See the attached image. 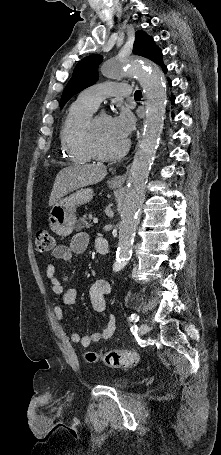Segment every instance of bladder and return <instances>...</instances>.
Returning a JSON list of instances; mask_svg holds the SVG:
<instances>
[{
    "mask_svg": "<svg viewBox=\"0 0 221 455\" xmlns=\"http://www.w3.org/2000/svg\"><path fill=\"white\" fill-rule=\"evenodd\" d=\"M127 383H128V379L124 378V377H121V378H118V379L114 380L112 384L115 387L122 388V387L126 386Z\"/></svg>",
    "mask_w": 221,
    "mask_h": 455,
    "instance_id": "bladder-1",
    "label": "bladder"
}]
</instances>
